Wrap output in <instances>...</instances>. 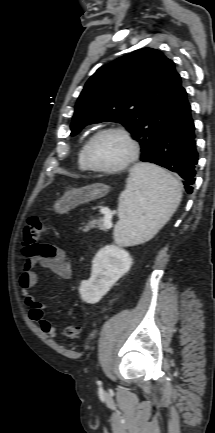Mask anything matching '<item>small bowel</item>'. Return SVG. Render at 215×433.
Masks as SVG:
<instances>
[{
	"mask_svg": "<svg viewBox=\"0 0 215 433\" xmlns=\"http://www.w3.org/2000/svg\"><path fill=\"white\" fill-rule=\"evenodd\" d=\"M23 272L19 277V286L24 295L25 304L29 308L30 318L36 322L40 329L49 337L57 335L55 326L46 319L44 305L31 293L41 280L37 268H48L61 279L67 280L72 276V267L67 252L57 246L49 244H38L34 247L32 254H25Z\"/></svg>",
	"mask_w": 215,
	"mask_h": 433,
	"instance_id": "obj_1",
	"label": "small bowel"
}]
</instances>
